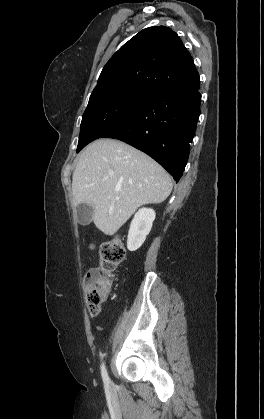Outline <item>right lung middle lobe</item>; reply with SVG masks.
I'll use <instances>...</instances> for the list:
<instances>
[{
  "mask_svg": "<svg viewBox=\"0 0 264 419\" xmlns=\"http://www.w3.org/2000/svg\"><path fill=\"white\" fill-rule=\"evenodd\" d=\"M153 94L149 90L125 84L93 90L83 114L77 152L126 120Z\"/></svg>",
  "mask_w": 264,
  "mask_h": 419,
  "instance_id": "obj_1",
  "label": "right lung middle lobe"
}]
</instances>
